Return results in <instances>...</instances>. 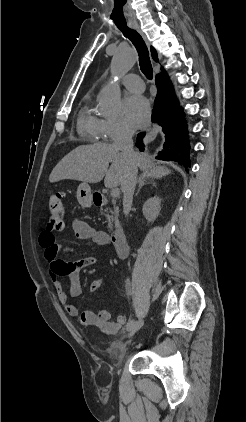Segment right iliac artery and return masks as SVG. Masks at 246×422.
I'll return each mask as SVG.
<instances>
[{
    "instance_id": "right-iliac-artery-1",
    "label": "right iliac artery",
    "mask_w": 246,
    "mask_h": 422,
    "mask_svg": "<svg viewBox=\"0 0 246 422\" xmlns=\"http://www.w3.org/2000/svg\"><path fill=\"white\" fill-rule=\"evenodd\" d=\"M134 324H135L134 320L129 321L128 324H127V329L131 330V328L133 327Z\"/></svg>"
}]
</instances>
